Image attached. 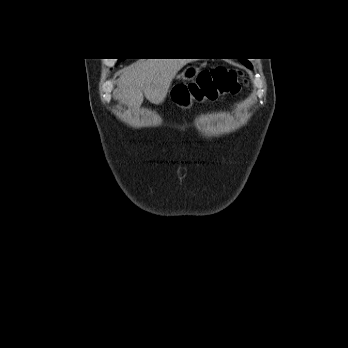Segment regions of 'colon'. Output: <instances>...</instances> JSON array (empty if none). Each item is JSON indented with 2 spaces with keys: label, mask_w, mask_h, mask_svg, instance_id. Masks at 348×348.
Returning a JSON list of instances; mask_svg holds the SVG:
<instances>
[{
  "label": "colon",
  "mask_w": 348,
  "mask_h": 348,
  "mask_svg": "<svg viewBox=\"0 0 348 348\" xmlns=\"http://www.w3.org/2000/svg\"><path fill=\"white\" fill-rule=\"evenodd\" d=\"M243 85L244 80L238 70L216 66L201 71L195 81L176 87L172 92V100L184 106L199 99L212 100L235 95Z\"/></svg>",
  "instance_id": "obj_1"
}]
</instances>
